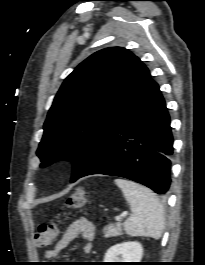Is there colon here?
I'll return each instance as SVG.
<instances>
[{"instance_id":"colon-1","label":"colon","mask_w":205,"mask_h":265,"mask_svg":"<svg viewBox=\"0 0 205 265\" xmlns=\"http://www.w3.org/2000/svg\"><path fill=\"white\" fill-rule=\"evenodd\" d=\"M85 197V191L83 189H78L70 195L67 200V204L72 208H79L84 204ZM57 234L58 228L56 224H41L35 235V241L40 247H49L55 242Z\"/></svg>"}]
</instances>
